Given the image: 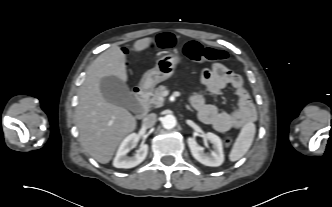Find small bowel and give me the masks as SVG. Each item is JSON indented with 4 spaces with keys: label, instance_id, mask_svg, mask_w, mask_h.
I'll use <instances>...</instances> for the list:
<instances>
[{
    "label": "small bowel",
    "instance_id": "c3829d8e",
    "mask_svg": "<svg viewBox=\"0 0 332 207\" xmlns=\"http://www.w3.org/2000/svg\"><path fill=\"white\" fill-rule=\"evenodd\" d=\"M200 80L212 94H219L227 86L232 87L239 104L237 110L223 112L215 105L207 103L203 94H195L190 98V104L201 122L211 125L218 132H227L255 120L256 109L241 76L221 64H216L212 69H202Z\"/></svg>",
    "mask_w": 332,
    "mask_h": 207
}]
</instances>
